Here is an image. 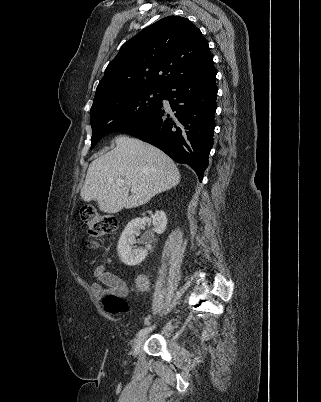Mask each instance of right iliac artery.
I'll return each instance as SVG.
<instances>
[{"mask_svg":"<svg viewBox=\"0 0 321 402\" xmlns=\"http://www.w3.org/2000/svg\"><path fill=\"white\" fill-rule=\"evenodd\" d=\"M152 328H154V326H152V327H146V328H144V329H141V330L138 332L137 336H142V335L147 334L149 331L152 330Z\"/></svg>","mask_w":321,"mask_h":402,"instance_id":"82829eb1","label":"right iliac artery"}]
</instances>
